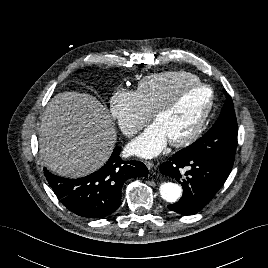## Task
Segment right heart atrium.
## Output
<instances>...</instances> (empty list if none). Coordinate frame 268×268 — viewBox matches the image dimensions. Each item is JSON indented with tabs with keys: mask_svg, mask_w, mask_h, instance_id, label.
Wrapping results in <instances>:
<instances>
[{
	"mask_svg": "<svg viewBox=\"0 0 268 268\" xmlns=\"http://www.w3.org/2000/svg\"><path fill=\"white\" fill-rule=\"evenodd\" d=\"M110 111L126 136L141 130L151 119L137 91L118 89L110 100Z\"/></svg>",
	"mask_w": 268,
	"mask_h": 268,
	"instance_id": "1",
	"label": "right heart atrium"
}]
</instances>
